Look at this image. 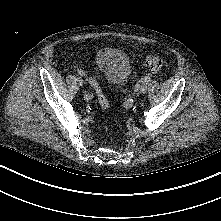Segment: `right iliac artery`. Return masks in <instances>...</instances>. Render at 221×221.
I'll use <instances>...</instances> for the list:
<instances>
[{
  "label": "right iliac artery",
  "instance_id": "1",
  "mask_svg": "<svg viewBox=\"0 0 221 221\" xmlns=\"http://www.w3.org/2000/svg\"><path fill=\"white\" fill-rule=\"evenodd\" d=\"M77 72H78L81 76L86 77V74H85L84 71L78 69ZM92 98H93V94H92L90 91H86L85 94H84V99H85L86 101H90V100H92Z\"/></svg>",
  "mask_w": 221,
  "mask_h": 221
}]
</instances>
